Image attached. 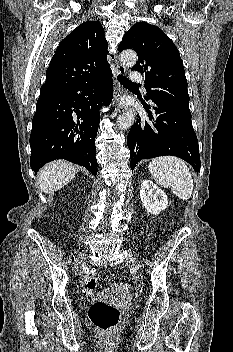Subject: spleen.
<instances>
[{"instance_id":"1","label":"spleen","mask_w":233,"mask_h":352,"mask_svg":"<svg viewBox=\"0 0 233 352\" xmlns=\"http://www.w3.org/2000/svg\"><path fill=\"white\" fill-rule=\"evenodd\" d=\"M149 171L160 186L169 187L179 199H190L194 183L185 162L177 157L164 156L149 163Z\"/></svg>"}]
</instances>
